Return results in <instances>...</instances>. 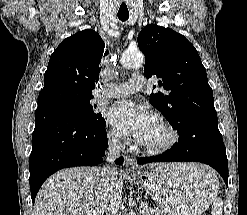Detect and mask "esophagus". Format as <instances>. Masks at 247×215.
I'll return each mask as SVG.
<instances>
[{
  "label": "esophagus",
  "instance_id": "esophagus-1",
  "mask_svg": "<svg viewBox=\"0 0 247 215\" xmlns=\"http://www.w3.org/2000/svg\"><path fill=\"white\" fill-rule=\"evenodd\" d=\"M126 168L129 172H139L140 171V167L136 162V159L133 157H129L126 161Z\"/></svg>",
  "mask_w": 247,
  "mask_h": 215
}]
</instances>
